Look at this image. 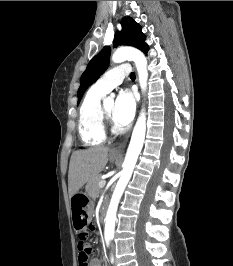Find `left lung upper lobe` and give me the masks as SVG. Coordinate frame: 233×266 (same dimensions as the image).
Returning a JSON list of instances; mask_svg holds the SVG:
<instances>
[{
  "instance_id": "5c2ea615",
  "label": "left lung upper lobe",
  "mask_w": 233,
  "mask_h": 266,
  "mask_svg": "<svg viewBox=\"0 0 233 266\" xmlns=\"http://www.w3.org/2000/svg\"><path fill=\"white\" fill-rule=\"evenodd\" d=\"M122 30L116 32L113 41L114 47L119 44H127L140 49L142 52L148 51V45L145 43V35L141 32V26L132 18L124 17L121 20ZM111 48L104 47L96 56L89 62L85 72L81 76L80 87L78 90V104L86 89L104 73L109 65Z\"/></svg>"
}]
</instances>
